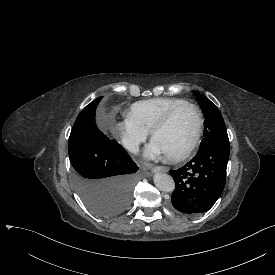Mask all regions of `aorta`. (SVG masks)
Here are the masks:
<instances>
[{"label":"aorta","mask_w":275,"mask_h":275,"mask_svg":"<svg viewBox=\"0 0 275 275\" xmlns=\"http://www.w3.org/2000/svg\"><path fill=\"white\" fill-rule=\"evenodd\" d=\"M154 185L161 191L171 192L174 189L173 178L164 172H156L153 175Z\"/></svg>","instance_id":"aorta-1"}]
</instances>
